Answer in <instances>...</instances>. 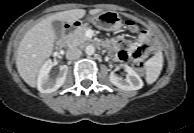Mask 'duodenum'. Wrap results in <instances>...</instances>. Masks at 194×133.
Listing matches in <instances>:
<instances>
[{"mask_svg":"<svg viewBox=\"0 0 194 133\" xmlns=\"http://www.w3.org/2000/svg\"><path fill=\"white\" fill-rule=\"evenodd\" d=\"M82 27V22L80 20H75L73 23L66 24L63 27V36L56 42V46L61 48L65 44V35L73 28L80 29ZM96 46L102 47V43H95Z\"/></svg>","mask_w":194,"mask_h":133,"instance_id":"obj_1","label":"duodenum"}]
</instances>
